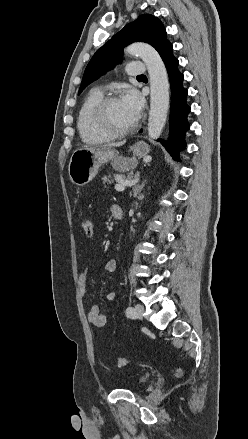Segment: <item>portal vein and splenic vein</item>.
Segmentation results:
<instances>
[{"label":"portal vein and splenic vein","mask_w":248,"mask_h":439,"mask_svg":"<svg viewBox=\"0 0 248 439\" xmlns=\"http://www.w3.org/2000/svg\"><path fill=\"white\" fill-rule=\"evenodd\" d=\"M136 178H137V175L135 177V180H133V181H121L120 183L115 185V190L118 192L124 191L127 186H131L136 182Z\"/></svg>","instance_id":"portal-vein-and-splenic-vein-1"}]
</instances>
